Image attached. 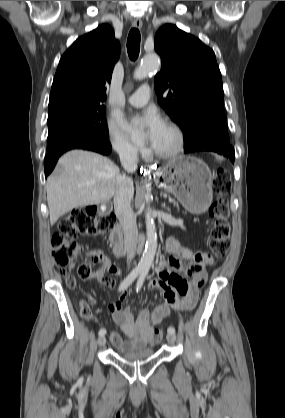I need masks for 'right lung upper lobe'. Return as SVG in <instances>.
<instances>
[{"label": "right lung upper lobe", "instance_id": "1", "mask_svg": "<svg viewBox=\"0 0 285 418\" xmlns=\"http://www.w3.org/2000/svg\"><path fill=\"white\" fill-rule=\"evenodd\" d=\"M120 55L119 42L108 24L78 38L63 54L56 71L49 104L59 101L102 103L105 85Z\"/></svg>", "mask_w": 285, "mask_h": 418}]
</instances>
